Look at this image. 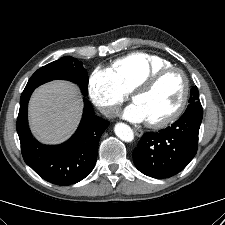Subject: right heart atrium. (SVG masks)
Returning <instances> with one entry per match:
<instances>
[{
  "label": "right heart atrium",
  "mask_w": 225,
  "mask_h": 225,
  "mask_svg": "<svg viewBox=\"0 0 225 225\" xmlns=\"http://www.w3.org/2000/svg\"><path fill=\"white\" fill-rule=\"evenodd\" d=\"M88 90L93 103L108 117L115 116L127 98L110 70H94L89 78Z\"/></svg>",
  "instance_id": "1"
}]
</instances>
